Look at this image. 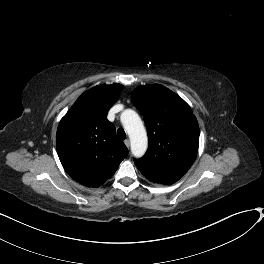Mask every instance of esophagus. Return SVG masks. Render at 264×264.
<instances>
[{"label": "esophagus", "mask_w": 264, "mask_h": 264, "mask_svg": "<svg viewBox=\"0 0 264 264\" xmlns=\"http://www.w3.org/2000/svg\"><path fill=\"white\" fill-rule=\"evenodd\" d=\"M124 144L126 145L127 148H129L130 147V141H129V139H125L124 140Z\"/></svg>", "instance_id": "34e87169"}]
</instances>
